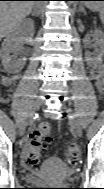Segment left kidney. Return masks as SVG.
Returning a JSON list of instances; mask_svg holds the SVG:
<instances>
[{"mask_svg":"<svg viewBox=\"0 0 104 189\" xmlns=\"http://www.w3.org/2000/svg\"><path fill=\"white\" fill-rule=\"evenodd\" d=\"M94 34H95V37L98 40L99 45H102V43H103L102 32L100 30H95ZM102 56H103L102 52L95 55V56L88 54L87 57H86V60L88 61L89 64L94 65V64H98V63L102 62Z\"/></svg>","mask_w":104,"mask_h":189,"instance_id":"obj_1","label":"left kidney"}]
</instances>
